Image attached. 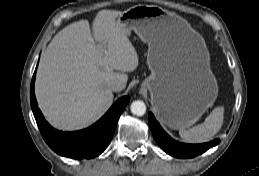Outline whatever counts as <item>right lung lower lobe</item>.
<instances>
[{
    "label": "right lung lower lobe",
    "instance_id": "1",
    "mask_svg": "<svg viewBox=\"0 0 259 176\" xmlns=\"http://www.w3.org/2000/svg\"><path fill=\"white\" fill-rule=\"evenodd\" d=\"M35 76L36 70L30 88L31 108L48 146L59 155L73 159H90L101 154L112 140L118 118L129 103V98L124 96L117 100L91 127L76 132H63L51 127L38 108L34 94Z\"/></svg>",
    "mask_w": 259,
    "mask_h": 176
}]
</instances>
